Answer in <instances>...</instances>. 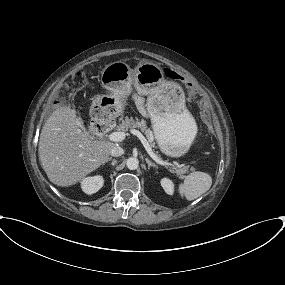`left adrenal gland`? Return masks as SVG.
<instances>
[{
    "mask_svg": "<svg viewBox=\"0 0 285 285\" xmlns=\"http://www.w3.org/2000/svg\"><path fill=\"white\" fill-rule=\"evenodd\" d=\"M145 161H146L147 164H148V169H150V167L156 168L155 163L151 162L148 158H145Z\"/></svg>",
    "mask_w": 285,
    "mask_h": 285,
    "instance_id": "a2214340",
    "label": "left adrenal gland"
}]
</instances>
